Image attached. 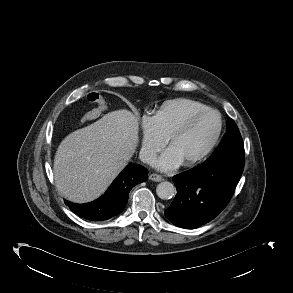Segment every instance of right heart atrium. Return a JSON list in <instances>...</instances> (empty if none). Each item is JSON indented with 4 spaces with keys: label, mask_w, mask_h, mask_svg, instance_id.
<instances>
[{
    "label": "right heart atrium",
    "mask_w": 293,
    "mask_h": 293,
    "mask_svg": "<svg viewBox=\"0 0 293 293\" xmlns=\"http://www.w3.org/2000/svg\"><path fill=\"white\" fill-rule=\"evenodd\" d=\"M140 154L145 162H151L155 154L164 146L166 139L158 131L153 116L143 115L141 118Z\"/></svg>",
    "instance_id": "1"
}]
</instances>
